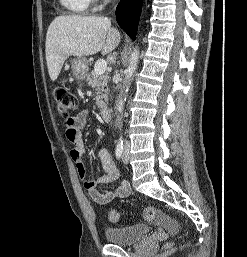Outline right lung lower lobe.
<instances>
[{
	"label": "right lung lower lobe",
	"instance_id": "98d812e1",
	"mask_svg": "<svg viewBox=\"0 0 247 257\" xmlns=\"http://www.w3.org/2000/svg\"><path fill=\"white\" fill-rule=\"evenodd\" d=\"M142 0H122L116 8V19L120 27L133 39L141 14Z\"/></svg>",
	"mask_w": 247,
	"mask_h": 257
}]
</instances>
